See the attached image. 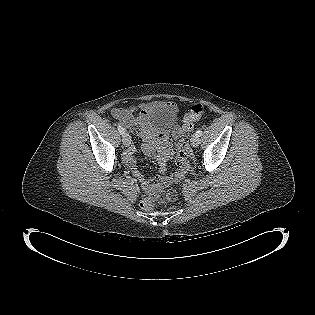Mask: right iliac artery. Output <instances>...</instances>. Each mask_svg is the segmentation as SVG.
Wrapping results in <instances>:
<instances>
[{"label":"right iliac artery","instance_id":"obj_1","mask_svg":"<svg viewBox=\"0 0 315 315\" xmlns=\"http://www.w3.org/2000/svg\"><path fill=\"white\" fill-rule=\"evenodd\" d=\"M118 131L121 135H123L125 133V129L121 126V125H118Z\"/></svg>","mask_w":315,"mask_h":315}]
</instances>
